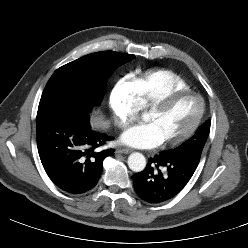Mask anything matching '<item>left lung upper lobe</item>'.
I'll return each mask as SVG.
<instances>
[{
  "mask_svg": "<svg viewBox=\"0 0 248 248\" xmlns=\"http://www.w3.org/2000/svg\"><path fill=\"white\" fill-rule=\"evenodd\" d=\"M210 132V121L204 123L188 141L177 148L169 151V154L176 156L198 155L201 156L207 137Z\"/></svg>",
  "mask_w": 248,
  "mask_h": 248,
  "instance_id": "left-lung-upper-lobe-1",
  "label": "left lung upper lobe"
}]
</instances>
